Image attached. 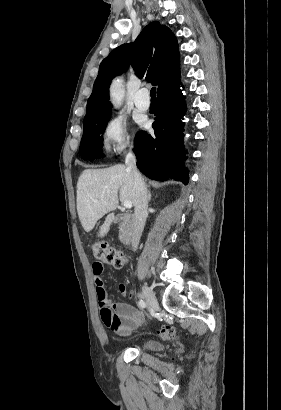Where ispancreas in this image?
<instances>
[{
  "label": "pancreas",
  "instance_id": "cf45deb5",
  "mask_svg": "<svg viewBox=\"0 0 281 410\" xmlns=\"http://www.w3.org/2000/svg\"><path fill=\"white\" fill-rule=\"evenodd\" d=\"M119 238H120V240H122V241L125 239V231H124V229H123V226L120 227Z\"/></svg>",
  "mask_w": 281,
  "mask_h": 410
}]
</instances>
